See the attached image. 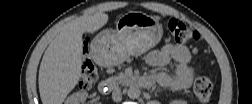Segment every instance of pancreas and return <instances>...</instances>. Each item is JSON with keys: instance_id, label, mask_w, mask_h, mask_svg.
<instances>
[{"instance_id": "1", "label": "pancreas", "mask_w": 252, "mask_h": 104, "mask_svg": "<svg viewBox=\"0 0 252 104\" xmlns=\"http://www.w3.org/2000/svg\"><path fill=\"white\" fill-rule=\"evenodd\" d=\"M122 77H124V74H120V76H118L116 79H120Z\"/></svg>"}]
</instances>
